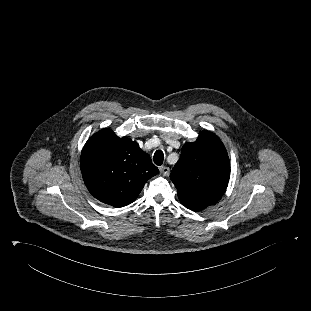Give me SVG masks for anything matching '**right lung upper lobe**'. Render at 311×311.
<instances>
[{"label":"right lung upper lobe","instance_id":"obj_1","mask_svg":"<svg viewBox=\"0 0 311 311\" xmlns=\"http://www.w3.org/2000/svg\"><path fill=\"white\" fill-rule=\"evenodd\" d=\"M80 167L89 192L114 207L135 201L147 180L159 172L135 141L119 138L109 128L98 131L86 142Z\"/></svg>","mask_w":311,"mask_h":311}]
</instances>
